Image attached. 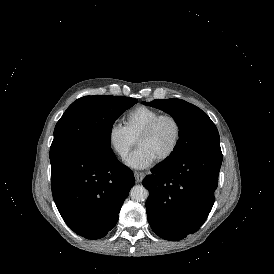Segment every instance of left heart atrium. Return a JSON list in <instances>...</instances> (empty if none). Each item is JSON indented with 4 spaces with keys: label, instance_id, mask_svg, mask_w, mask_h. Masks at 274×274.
Listing matches in <instances>:
<instances>
[{
    "label": "left heart atrium",
    "instance_id": "39dd6f15",
    "mask_svg": "<svg viewBox=\"0 0 274 274\" xmlns=\"http://www.w3.org/2000/svg\"><path fill=\"white\" fill-rule=\"evenodd\" d=\"M125 162L131 168L144 169L150 166L154 160L144 148L137 147L125 157Z\"/></svg>",
    "mask_w": 274,
    "mask_h": 274
}]
</instances>
